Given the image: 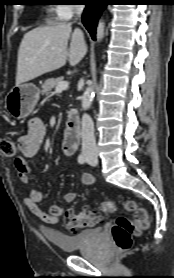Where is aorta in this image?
Segmentation results:
<instances>
[{"label":"aorta","mask_w":174,"mask_h":278,"mask_svg":"<svg viewBox=\"0 0 174 278\" xmlns=\"http://www.w3.org/2000/svg\"><path fill=\"white\" fill-rule=\"evenodd\" d=\"M104 31H105V23L100 20L96 32V38L98 42L103 39L105 35ZM93 96H94V85L93 82H90V84L86 88L81 98V105L84 110L88 109L91 106L93 101Z\"/></svg>","instance_id":"obj_1"}]
</instances>
